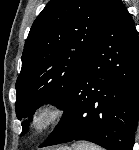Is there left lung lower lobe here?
Returning <instances> with one entry per match:
<instances>
[{
    "label": "left lung lower lobe",
    "mask_w": 139,
    "mask_h": 150,
    "mask_svg": "<svg viewBox=\"0 0 139 150\" xmlns=\"http://www.w3.org/2000/svg\"><path fill=\"white\" fill-rule=\"evenodd\" d=\"M64 114L40 147L86 140L132 150L139 118V39L120 0L61 107Z\"/></svg>",
    "instance_id": "left-lung-lower-lobe-1"
}]
</instances>
